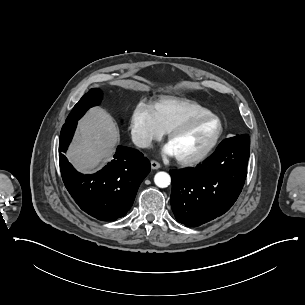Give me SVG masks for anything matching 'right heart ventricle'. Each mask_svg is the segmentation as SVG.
I'll return each instance as SVG.
<instances>
[{"label":"right heart ventricle","instance_id":"obj_1","mask_svg":"<svg viewBox=\"0 0 305 305\" xmlns=\"http://www.w3.org/2000/svg\"><path fill=\"white\" fill-rule=\"evenodd\" d=\"M158 122L164 132H170L186 119L211 112L200 103L178 97H169L154 107Z\"/></svg>","mask_w":305,"mask_h":305}]
</instances>
